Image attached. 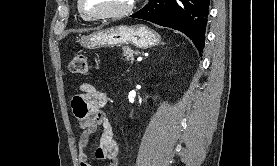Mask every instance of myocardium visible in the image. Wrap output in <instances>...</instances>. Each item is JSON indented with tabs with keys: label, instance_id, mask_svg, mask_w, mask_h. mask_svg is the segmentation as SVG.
I'll list each match as a JSON object with an SVG mask.
<instances>
[{
	"label": "myocardium",
	"instance_id": "myocardium-1",
	"mask_svg": "<svg viewBox=\"0 0 277 166\" xmlns=\"http://www.w3.org/2000/svg\"><path fill=\"white\" fill-rule=\"evenodd\" d=\"M136 1L137 0H130L128 5L121 10L110 11L105 13H97V14L87 12L83 7V0H78L77 6L80 14L87 19H91V20L120 19L128 16L133 11L136 5Z\"/></svg>",
	"mask_w": 277,
	"mask_h": 166
}]
</instances>
